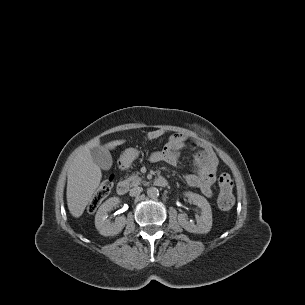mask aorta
I'll return each instance as SVG.
<instances>
[{
  "label": "aorta",
  "mask_w": 305,
  "mask_h": 305,
  "mask_svg": "<svg viewBox=\"0 0 305 305\" xmlns=\"http://www.w3.org/2000/svg\"><path fill=\"white\" fill-rule=\"evenodd\" d=\"M147 195L150 198L155 199V198H157L159 196V190L156 187H150L147 190Z\"/></svg>",
  "instance_id": "aorta-1"
}]
</instances>
